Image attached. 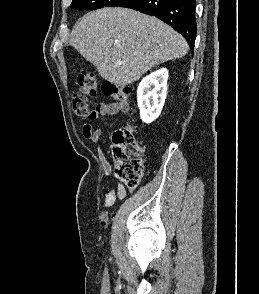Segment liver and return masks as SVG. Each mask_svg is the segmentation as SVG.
I'll return each instance as SVG.
<instances>
[{
	"instance_id": "1",
	"label": "liver",
	"mask_w": 259,
	"mask_h": 294,
	"mask_svg": "<svg viewBox=\"0 0 259 294\" xmlns=\"http://www.w3.org/2000/svg\"><path fill=\"white\" fill-rule=\"evenodd\" d=\"M69 43L103 79L119 86L188 52L186 40L166 23L121 7L85 14L74 25Z\"/></svg>"
}]
</instances>
